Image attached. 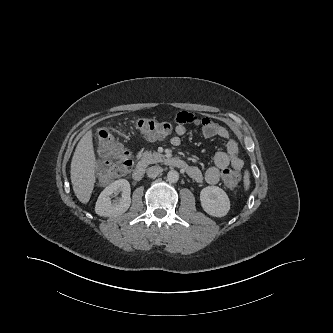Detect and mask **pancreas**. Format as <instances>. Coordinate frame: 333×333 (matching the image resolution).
Returning a JSON list of instances; mask_svg holds the SVG:
<instances>
[{"label":"pancreas","instance_id":"1","mask_svg":"<svg viewBox=\"0 0 333 333\" xmlns=\"http://www.w3.org/2000/svg\"><path fill=\"white\" fill-rule=\"evenodd\" d=\"M141 159L147 164H153L161 162L164 159V155L158 152L145 151L141 154Z\"/></svg>","mask_w":333,"mask_h":333}]
</instances>
